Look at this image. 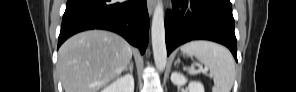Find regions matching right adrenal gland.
Instances as JSON below:
<instances>
[{"mask_svg":"<svg viewBox=\"0 0 296 92\" xmlns=\"http://www.w3.org/2000/svg\"><path fill=\"white\" fill-rule=\"evenodd\" d=\"M126 71H130V73H133V63H130L128 67L125 68Z\"/></svg>","mask_w":296,"mask_h":92,"instance_id":"2a0ac1e0","label":"right adrenal gland"}]
</instances>
